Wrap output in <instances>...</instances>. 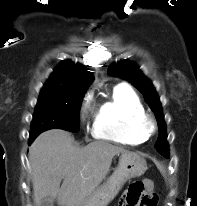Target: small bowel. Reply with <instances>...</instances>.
Masks as SVG:
<instances>
[{"instance_id": "obj_1", "label": "small bowel", "mask_w": 197, "mask_h": 206, "mask_svg": "<svg viewBox=\"0 0 197 206\" xmlns=\"http://www.w3.org/2000/svg\"><path fill=\"white\" fill-rule=\"evenodd\" d=\"M148 188L151 189V182L148 181V184H147ZM126 194H127V191L124 193L123 195V198H122V202H121V206H128L126 201H125V197H126ZM136 206H140V205H136Z\"/></svg>"}]
</instances>
